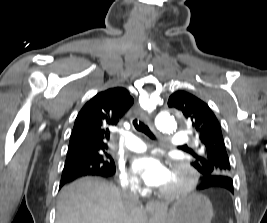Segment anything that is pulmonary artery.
Returning a JSON list of instances; mask_svg holds the SVG:
<instances>
[{
	"label": "pulmonary artery",
	"mask_w": 267,
	"mask_h": 223,
	"mask_svg": "<svg viewBox=\"0 0 267 223\" xmlns=\"http://www.w3.org/2000/svg\"><path fill=\"white\" fill-rule=\"evenodd\" d=\"M186 138L182 135H174L171 138V144L173 146H182L185 144ZM126 147L135 152H141L147 149V144L134 134H128L126 136Z\"/></svg>",
	"instance_id": "e3ab8cb5"
}]
</instances>
